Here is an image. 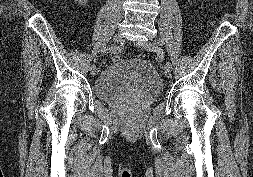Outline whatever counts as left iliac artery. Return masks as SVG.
Here are the masks:
<instances>
[{
    "mask_svg": "<svg viewBox=\"0 0 253 177\" xmlns=\"http://www.w3.org/2000/svg\"><path fill=\"white\" fill-rule=\"evenodd\" d=\"M163 41L161 39H156L154 41L155 44V49H156V53L155 56L157 57L156 62L157 63H161V64H165L166 66H172V62L169 59H164V57L166 56V53L162 51V49L160 48V46L162 45Z\"/></svg>",
    "mask_w": 253,
    "mask_h": 177,
    "instance_id": "left-iliac-artery-1",
    "label": "left iliac artery"
}]
</instances>
